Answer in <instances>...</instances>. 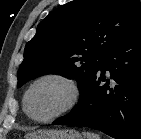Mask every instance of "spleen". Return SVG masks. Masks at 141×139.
I'll return each mask as SVG.
<instances>
[{
  "mask_svg": "<svg viewBox=\"0 0 141 139\" xmlns=\"http://www.w3.org/2000/svg\"><path fill=\"white\" fill-rule=\"evenodd\" d=\"M86 139H100L98 134L90 133V132H85L83 133Z\"/></svg>",
  "mask_w": 141,
  "mask_h": 139,
  "instance_id": "spleen-1",
  "label": "spleen"
}]
</instances>
